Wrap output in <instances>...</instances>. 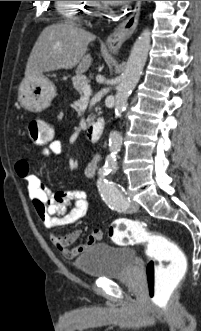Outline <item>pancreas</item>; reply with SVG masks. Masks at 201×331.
Returning <instances> with one entry per match:
<instances>
[{
    "label": "pancreas",
    "instance_id": "1",
    "mask_svg": "<svg viewBox=\"0 0 201 331\" xmlns=\"http://www.w3.org/2000/svg\"><path fill=\"white\" fill-rule=\"evenodd\" d=\"M73 86L75 90L82 95L84 86L88 85L89 80L84 75H77L72 78Z\"/></svg>",
    "mask_w": 201,
    "mask_h": 331
}]
</instances>
